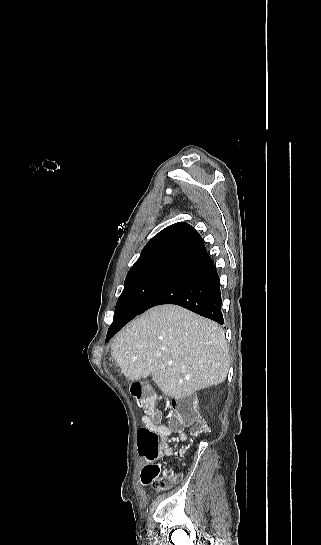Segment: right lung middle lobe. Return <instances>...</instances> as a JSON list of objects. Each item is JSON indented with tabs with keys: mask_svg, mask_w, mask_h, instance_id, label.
I'll return each instance as SVG.
<instances>
[{
	"mask_svg": "<svg viewBox=\"0 0 321 545\" xmlns=\"http://www.w3.org/2000/svg\"><path fill=\"white\" fill-rule=\"evenodd\" d=\"M175 269L157 265L129 271L116 304L113 322L135 317Z\"/></svg>",
	"mask_w": 321,
	"mask_h": 545,
	"instance_id": "obj_1",
	"label": "right lung middle lobe"
}]
</instances>
